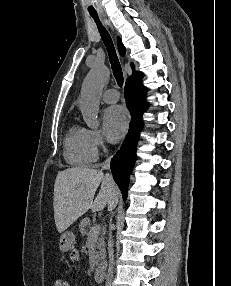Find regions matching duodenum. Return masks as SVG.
<instances>
[{"mask_svg":"<svg viewBox=\"0 0 231 286\" xmlns=\"http://www.w3.org/2000/svg\"><path fill=\"white\" fill-rule=\"evenodd\" d=\"M94 279L97 282H102L104 279V266L102 264L98 265L94 271Z\"/></svg>","mask_w":231,"mask_h":286,"instance_id":"obj_1","label":"duodenum"}]
</instances>
